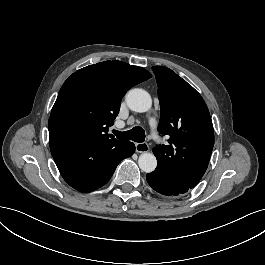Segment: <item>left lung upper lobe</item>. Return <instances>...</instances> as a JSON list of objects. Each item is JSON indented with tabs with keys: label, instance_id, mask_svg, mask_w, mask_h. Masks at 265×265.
Instances as JSON below:
<instances>
[{
	"label": "left lung upper lobe",
	"instance_id": "obj_1",
	"mask_svg": "<svg viewBox=\"0 0 265 265\" xmlns=\"http://www.w3.org/2000/svg\"><path fill=\"white\" fill-rule=\"evenodd\" d=\"M160 122L158 131L170 136L169 145H157V168L194 188L204 175L214 146L209 110L201 95L171 69L154 66Z\"/></svg>",
	"mask_w": 265,
	"mask_h": 265
}]
</instances>
